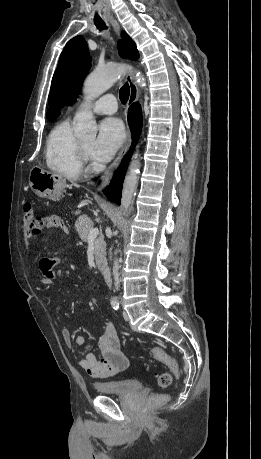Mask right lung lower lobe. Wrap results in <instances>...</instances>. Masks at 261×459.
I'll return each instance as SVG.
<instances>
[{
	"mask_svg": "<svg viewBox=\"0 0 261 459\" xmlns=\"http://www.w3.org/2000/svg\"><path fill=\"white\" fill-rule=\"evenodd\" d=\"M128 122L132 132V145H135L137 142L142 128V112L139 103H133L129 110H128ZM129 161V157L127 159L124 158L122 164L114 174L110 185L105 190V194L107 198L117 204L120 205L121 199V190L122 184L127 168V163Z\"/></svg>",
	"mask_w": 261,
	"mask_h": 459,
	"instance_id": "1",
	"label": "right lung lower lobe"
}]
</instances>
